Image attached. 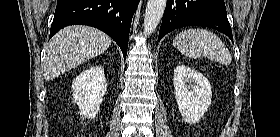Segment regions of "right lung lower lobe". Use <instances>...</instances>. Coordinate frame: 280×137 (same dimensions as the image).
Segmentation results:
<instances>
[{"label": "right lung lower lobe", "instance_id": "right-lung-lower-lobe-1", "mask_svg": "<svg viewBox=\"0 0 280 137\" xmlns=\"http://www.w3.org/2000/svg\"><path fill=\"white\" fill-rule=\"evenodd\" d=\"M140 0H57L50 37L68 25H88L108 34L126 59L132 17Z\"/></svg>", "mask_w": 280, "mask_h": 137}]
</instances>
